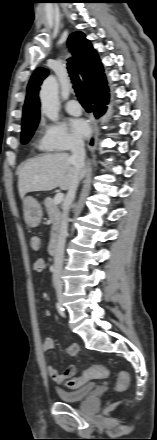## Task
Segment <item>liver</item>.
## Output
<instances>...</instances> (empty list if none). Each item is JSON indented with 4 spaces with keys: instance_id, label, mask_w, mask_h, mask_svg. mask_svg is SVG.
Masks as SVG:
<instances>
[{
    "instance_id": "liver-1",
    "label": "liver",
    "mask_w": 157,
    "mask_h": 440,
    "mask_svg": "<svg viewBox=\"0 0 157 440\" xmlns=\"http://www.w3.org/2000/svg\"><path fill=\"white\" fill-rule=\"evenodd\" d=\"M85 165L80 171V177ZM76 169L68 153H50L26 161L18 169V190L21 199L29 192L50 191L57 187L68 190Z\"/></svg>"
}]
</instances>
